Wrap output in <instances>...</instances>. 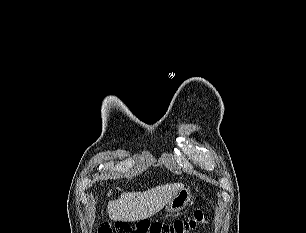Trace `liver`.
<instances>
[{
	"label": "liver",
	"mask_w": 306,
	"mask_h": 233,
	"mask_svg": "<svg viewBox=\"0 0 306 233\" xmlns=\"http://www.w3.org/2000/svg\"><path fill=\"white\" fill-rule=\"evenodd\" d=\"M183 187L182 183H174L145 192H123L117 200L109 201V218L121 222L147 219L166 206Z\"/></svg>",
	"instance_id": "liver-1"
}]
</instances>
